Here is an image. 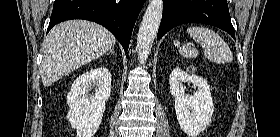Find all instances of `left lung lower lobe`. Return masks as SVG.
Returning <instances> with one entry per match:
<instances>
[{"mask_svg": "<svg viewBox=\"0 0 280 137\" xmlns=\"http://www.w3.org/2000/svg\"><path fill=\"white\" fill-rule=\"evenodd\" d=\"M164 12L157 40L183 23H203L218 27L235 39L227 0H163Z\"/></svg>", "mask_w": 280, "mask_h": 137, "instance_id": "1", "label": "left lung lower lobe"}]
</instances>
